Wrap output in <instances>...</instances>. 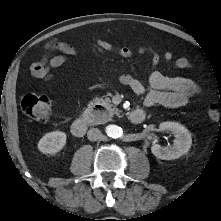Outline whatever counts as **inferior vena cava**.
Masks as SVG:
<instances>
[{"label": "inferior vena cava", "mask_w": 221, "mask_h": 221, "mask_svg": "<svg viewBox=\"0 0 221 221\" xmlns=\"http://www.w3.org/2000/svg\"><path fill=\"white\" fill-rule=\"evenodd\" d=\"M87 137L90 141H97L102 138V133L98 128H91L87 132Z\"/></svg>", "instance_id": "1"}]
</instances>
